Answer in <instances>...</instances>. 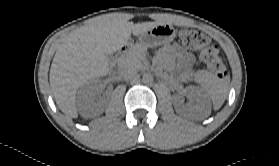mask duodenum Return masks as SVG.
<instances>
[{"mask_svg":"<svg viewBox=\"0 0 279 166\" xmlns=\"http://www.w3.org/2000/svg\"><path fill=\"white\" fill-rule=\"evenodd\" d=\"M132 48V43L131 42H127L125 44H123L117 52V65H119L121 63V60L123 58V56Z\"/></svg>","mask_w":279,"mask_h":166,"instance_id":"obj_1","label":"duodenum"}]
</instances>
